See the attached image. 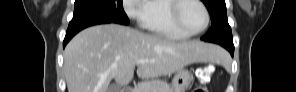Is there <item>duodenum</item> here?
<instances>
[{
  "mask_svg": "<svg viewBox=\"0 0 296 92\" xmlns=\"http://www.w3.org/2000/svg\"><path fill=\"white\" fill-rule=\"evenodd\" d=\"M122 92H135V88L132 86L126 87L121 90Z\"/></svg>",
  "mask_w": 296,
  "mask_h": 92,
  "instance_id": "410a0bca",
  "label": "duodenum"
}]
</instances>
